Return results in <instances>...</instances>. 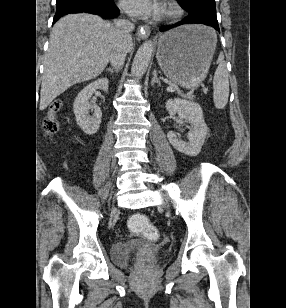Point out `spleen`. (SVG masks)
<instances>
[{
    "mask_svg": "<svg viewBox=\"0 0 286 308\" xmlns=\"http://www.w3.org/2000/svg\"><path fill=\"white\" fill-rule=\"evenodd\" d=\"M218 67L213 78V101L217 109H223L229 97V75L224 61V55L220 52L218 56Z\"/></svg>",
    "mask_w": 286,
    "mask_h": 308,
    "instance_id": "obj_1",
    "label": "spleen"
}]
</instances>
